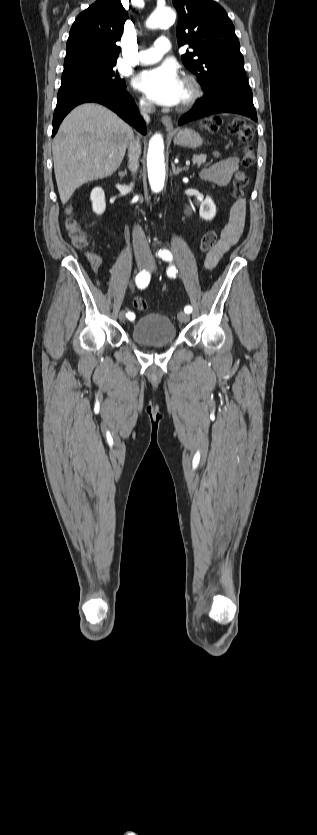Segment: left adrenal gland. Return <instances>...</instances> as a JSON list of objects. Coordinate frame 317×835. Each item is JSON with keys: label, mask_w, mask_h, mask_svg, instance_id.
<instances>
[{"label": "left adrenal gland", "mask_w": 317, "mask_h": 835, "mask_svg": "<svg viewBox=\"0 0 317 835\" xmlns=\"http://www.w3.org/2000/svg\"><path fill=\"white\" fill-rule=\"evenodd\" d=\"M183 170H187V167L180 168V167L178 166V167L176 168V167H175V164H174V163H172V171H173V174H174V175H178V174H179L181 171H183Z\"/></svg>", "instance_id": "a2214340"}]
</instances>
